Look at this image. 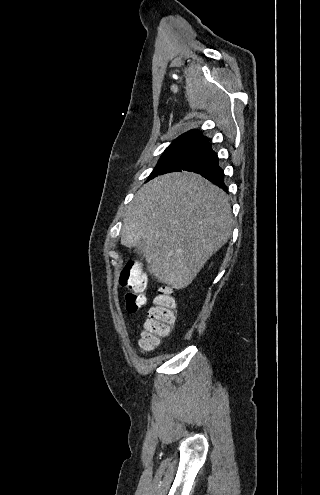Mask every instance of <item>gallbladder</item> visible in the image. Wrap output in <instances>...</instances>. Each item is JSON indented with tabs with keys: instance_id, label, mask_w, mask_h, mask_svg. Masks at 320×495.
Returning <instances> with one entry per match:
<instances>
[{
	"instance_id": "1",
	"label": "gallbladder",
	"mask_w": 320,
	"mask_h": 495,
	"mask_svg": "<svg viewBox=\"0 0 320 495\" xmlns=\"http://www.w3.org/2000/svg\"><path fill=\"white\" fill-rule=\"evenodd\" d=\"M144 244V240L142 239L139 243V245L137 246V251L138 252H141V249H142V245Z\"/></svg>"
}]
</instances>
